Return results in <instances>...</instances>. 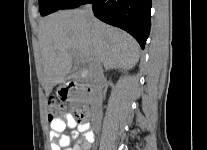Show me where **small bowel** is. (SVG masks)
Returning <instances> with one entry per match:
<instances>
[{"label": "small bowel", "instance_id": "obj_1", "mask_svg": "<svg viewBox=\"0 0 207 150\" xmlns=\"http://www.w3.org/2000/svg\"><path fill=\"white\" fill-rule=\"evenodd\" d=\"M50 129L51 150H89L95 140L90 125L87 122H77L70 113L64 119L50 120ZM66 131H70L77 139L73 146Z\"/></svg>", "mask_w": 207, "mask_h": 150}]
</instances>
